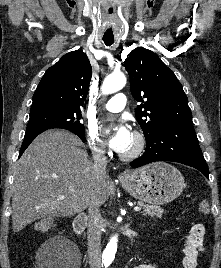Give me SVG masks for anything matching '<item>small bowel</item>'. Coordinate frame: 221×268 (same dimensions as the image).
Instances as JSON below:
<instances>
[{
	"instance_id": "obj_1",
	"label": "small bowel",
	"mask_w": 221,
	"mask_h": 268,
	"mask_svg": "<svg viewBox=\"0 0 221 268\" xmlns=\"http://www.w3.org/2000/svg\"><path fill=\"white\" fill-rule=\"evenodd\" d=\"M189 232L184 240L182 268H196L197 261L205 249V228L201 223L190 221ZM134 268H156L155 264H142Z\"/></svg>"
}]
</instances>
